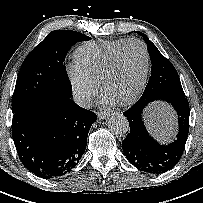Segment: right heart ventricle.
Listing matches in <instances>:
<instances>
[{"instance_id": "e07e8e85", "label": "right heart ventricle", "mask_w": 203, "mask_h": 203, "mask_svg": "<svg viewBox=\"0 0 203 203\" xmlns=\"http://www.w3.org/2000/svg\"><path fill=\"white\" fill-rule=\"evenodd\" d=\"M124 41L126 39L85 43L75 51L76 64L93 80L99 82L111 56Z\"/></svg>"}]
</instances>
